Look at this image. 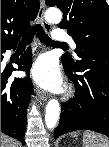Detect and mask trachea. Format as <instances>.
Segmentation results:
<instances>
[{
	"label": "trachea",
	"instance_id": "1",
	"mask_svg": "<svg viewBox=\"0 0 109 147\" xmlns=\"http://www.w3.org/2000/svg\"><path fill=\"white\" fill-rule=\"evenodd\" d=\"M38 36L39 40L46 45H60L58 44L56 41H53L44 31V29L42 28V26L40 24H36L34 25L31 30L24 35V37L22 38V40L19 43V46H27L29 45L32 40L34 35Z\"/></svg>",
	"mask_w": 109,
	"mask_h": 147
}]
</instances>
